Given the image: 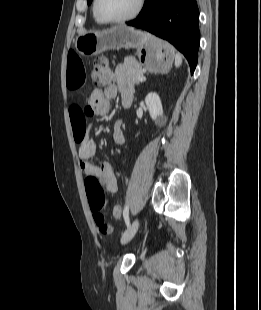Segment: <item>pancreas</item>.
<instances>
[{"label":"pancreas","mask_w":261,"mask_h":310,"mask_svg":"<svg viewBox=\"0 0 261 310\" xmlns=\"http://www.w3.org/2000/svg\"><path fill=\"white\" fill-rule=\"evenodd\" d=\"M124 66L126 68L127 82L128 84L134 86L139 84V77L143 76V70L139 63H137L133 58L126 57L124 61Z\"/></svg>","instance_id":"obj_1"}]
</instances>
